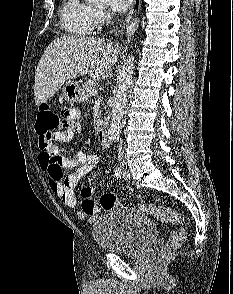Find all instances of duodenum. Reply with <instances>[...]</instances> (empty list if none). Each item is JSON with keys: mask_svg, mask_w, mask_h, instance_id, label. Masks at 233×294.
Instances as JSON below:
<instances>
[{"mask_svg": "<svg viewBox=\"0 0 233 294\" xmlns=\"http://www.w3.org/2000/svg\"><path fill=\"white\" fill-rule=\"evenodd\" d=\"M99 141L103 146H108L110 144V138L108 130L105 127H102L98 133Z\"/></svg>", "mask_w": 233, "mask_h": 294, "instance_id": "duodenum-1", "label": "duodenum"}]
</instances>
